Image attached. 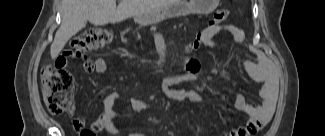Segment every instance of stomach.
<instances>
[{
    "label": "stomach",
    "mask_w": 325,
    "mask_h": 136,
    "mask_svg": "<svg viewBox=\"0 0 325 136\" xmlns=\"http://www.w3.org/2000/svg\"><path fill=\"white\" fill-rule=\"evenodd\" d=\"M219 0H191L188 3L185 0H175L173 4L166 8H159L145 15L136 16L134 19L140 24H152L162 21L166 18L195 14H208L218 5Z\"/></svg>",
    "instance_id": "0dacf381"
}]
</instances>
